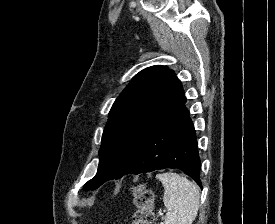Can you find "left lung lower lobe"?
Returning <instances> with one entry per match:
<instances>
[{
  "label": "left lung lower lobe",
  "instance_id": "obj_1",
  "mask_svg": "<svg viewBox=\"0 0 275 224\" xmlns=\"http://www.w3.org/2000/svg\"><path fill=\"white\" fill-rule=\"evenodd\" d=\"M184 97L158 124L135 157L126 174L177 168L201 187V161L194 125ZM110 180L104 179L100 186Z\"/></svg>",
  "mask_w": 275,
  "mask_h": 224
}]
</instances>
